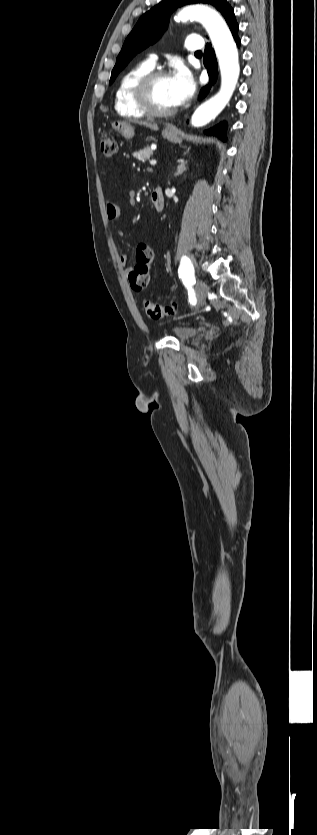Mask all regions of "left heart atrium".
<instances>
[{"mask_svg": "<svg viewBox=\"0 0 317 835\" xmlns=\"http://www.w3.org/2000/svg\"><path fill=\"white\" fill-rule=\"evenodd\" d=\"M170 88L175 106L186 102L195 91V82L187 68L180 66L170 77Z\"/></svg>", "mask_w": 317, "mask_h": 835, "instance_id": "obj_1", "label": "left heart atrium"}]
</instances>
